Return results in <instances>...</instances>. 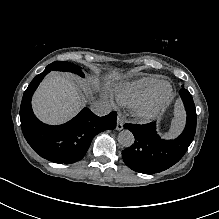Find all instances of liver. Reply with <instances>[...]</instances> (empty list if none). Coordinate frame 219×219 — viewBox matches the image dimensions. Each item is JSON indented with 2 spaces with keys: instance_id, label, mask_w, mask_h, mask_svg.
I'll return each mask as SVG.
<instances>
[{
  "instance_id": "1",
  "label": "liver",
  "mask_w": 219,
  "mask_h": 219,
  "mask_svg": "<svg viewBox=\"0 0 219 219\" xmlns=\"http://www.w3.org/2000/svg\"><path fill=\"white\" fill-rule=\"evenodd\" d=\"M124 70L108 69L104 76L105 87L113 86L122 79ZM86 91L95 92L96 87L87 85ZM83 90L65 74L52 72L43 78L31 98L35 117L51 126L66 124L79 114L83 106Z\"/></svg>"
}]
</instances>
